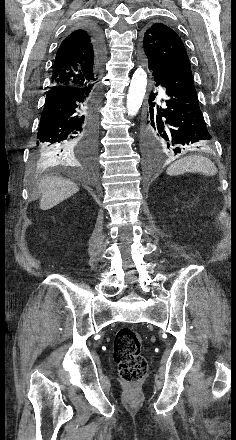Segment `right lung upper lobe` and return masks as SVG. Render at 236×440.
I'll use <instances>...</instances> for the list:
<instances>
[{"instance_id": "obj_1", "label": "right lung upper lobe", "mask_w": 236, "mask_h": 440, "mask_svg": "<svg viewBox=\"0 0 236 440\" xmlns=\"http://www.w3.org/2000/svg\"><path fill=\"white\" fill-rule=\"evenodd\" d=\"M99 77L91 36L84 28H78L64 39L56 53L50 88L84 87Z\"/></svg>"}]
</instances>
